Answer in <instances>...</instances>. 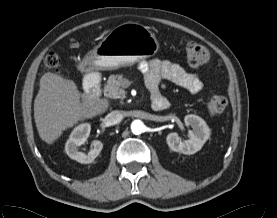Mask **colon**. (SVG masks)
Masks as SVG:
<instances>
[{"label":"colon","instance_id":"5ec220e1","mask_svg":"<svg viewBox=\"0 0 277 218\" xmlns=\"http://www.w3.org/2000/svg\"><path fill=\"white\" fill-rule=\"evenodd\" d=\"M186 59L192 66H201L209 60L207 48L199 43L189 41L185 46ZM45 65L49 69L57 70L59 65L58 56L55 53H49L45 58ZM227 98L223 94H215L207 101V108L212 115H218L224 112L227 107Z\"/></svg>","mask_w":277,"mask_h":218}]
</instances>
